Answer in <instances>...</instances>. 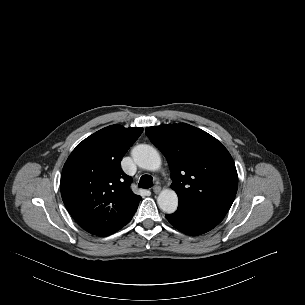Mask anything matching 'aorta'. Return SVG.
Segmentation results:
<instances>
[{"instance_id":"aorta-1","label":"aorta","mask_w":305,"mask_h":305,"mask_svg":"<svg viewBox=\"0 0 305 305\" xmlns=\"http://www.w3.org/2000/svg\"><path fill=\"white\" fill-rule=\"evenodd\" d=\"M132 157L135 163L142 169L149 171L158 170L161 166L159 153L150 145L140 144L133 148ZM159 208L165 213H174L178 207V196L175 191L165 189L157 198Z\"/></svg>"}]
</instances>
